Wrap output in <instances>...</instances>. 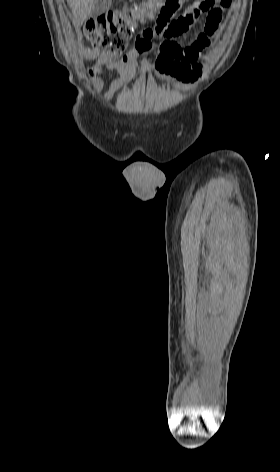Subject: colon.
<instances>
[{"instance_id": "obj_1", "label": "colon", "mask_w": 280, "mask_h": 472, "mask_svg": "<svg viewBox=\"0 0 280 472\" xmlns=\"http://www.w3.org/2000/svg\"><path fill=\"white\" fill-rule=\"evenodd\" d=\"M219 1L227 7L231 0H203L201 7L208 12L206 22L215 24L221 20V8L215 7ZM184 0H145L139 4L125 6L110 11L86 22L83 37L93 47L101 48L108 56L121 55L134 29L145 22L156 20L167 22L179 10Z\"/></svg>"}]
</instances>
